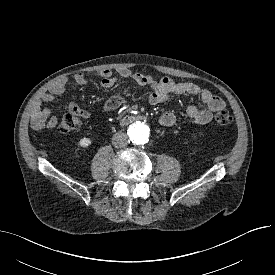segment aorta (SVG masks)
Returning a JSON list of instances; mask_svg holds the SVG:
<instances>
[{
  "label": "aorta",
  "instance_id": "1",
  "mask_svg": "<svg viewBox=\"0 0 275 275\" xmlns=\"http://www.w3.org/2000/svg\"><path fill=\"white\" fill-rule=\"evenodd\" d=\"M129 135L132 141L136 144H144L149 137V126L143 122H135L129 128Z\"/></svg>",
  "mask_w": 275,
  "mask_h": 275
}]
</instances>
